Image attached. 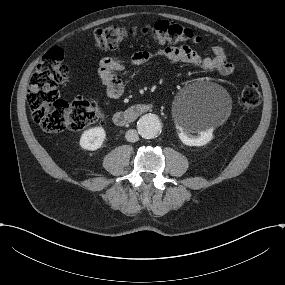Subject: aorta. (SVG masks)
I'll return each mask as SVG.
<instances>
[{
	"mask_svg": "<svg viewBox=\"0 0 285 285\" xmlns=\"http://www.w3.org/2000/svg\"><path fill=\"white\" fill-rule=\"evenodd\" d=\"M137 128L143 138L152 139L161 131V123L156 115L145 114L139 119Z\"/></svg>",
	"mask_w": 285,
	"mask_h": 285,
	"instance_id": "1",
	"label": "aorta"
}]
</instances>
